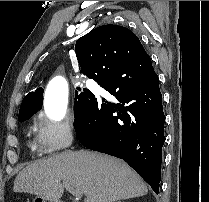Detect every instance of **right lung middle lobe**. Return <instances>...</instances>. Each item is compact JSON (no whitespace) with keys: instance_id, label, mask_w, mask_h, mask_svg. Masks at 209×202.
Wrapping results in <instances>:
<instances>
[{"instance_id":"right-lung-middle-lobe-1","label":"right lung middle lobe","mask_w":209,"mask_h":202,"mask_svg":"<svg viewBox=\"0 0 209 202\" xmlns=\"http://www.w3.org/2000/svg\"><path fill=\"white\" fill-rule=\"evenodd\" d=\"M93 97V93L86 88H79L77 87V91L75 93V103H74V117H77L82 114L89 99ZM41 107H34V108H24L19 111L18 120L20 122L29 119L33 116L37 110H40Z\"/></svg>"}]
</instances>
